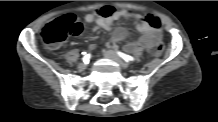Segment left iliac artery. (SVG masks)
Segmentation results:
<instances>
[{"label": "left iliac artery", "mask_w": 218, "mask_h": 122, "mask_svg": "<svg viewBox=\"0 0 218 122\" xmlns=\"http://www.w3.org/2000/svg\"><path fill=\"white\" fill-rule=\"evenodd\" d=\"M117 54L122 58L124 59L126 62H129V61H134V58L130 55H127L125 53H122L120 51L117 52Z\"/></svg>", "instance_id": "left-iliac-artery-1"}]
</instances>
